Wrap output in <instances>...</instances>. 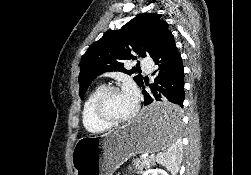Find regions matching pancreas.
<instances>
[{
  "label": "pancreas",
  "instance_id": "obj_1",
  "mask_svg": "<svg viewBox=\"0 0 251 175\" xmlns=\"http://www.w3.org/2000/svg\"><path fill=\"white\" fill-rule=\"evenodd\" d=\"M133 165L139 169L138 173H142L144 167H150V165H154V159L152 155H146V157H137Z\"/></svg>",
  "mask_w": 251,
  "mask_h": 175
}]
</instances>
